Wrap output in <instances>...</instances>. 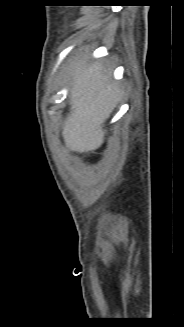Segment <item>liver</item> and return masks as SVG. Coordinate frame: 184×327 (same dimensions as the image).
I'll list each match as a JSON object with an SVG mask.
<instances>
[{"instance_id":"obj_1","label":"liver","mask_w":184,"mask_h":327,"mask_svg":"<svg viewBox=\"0 0 184 327\" xmlns=\"http://www.w3.org/2000/svg\"><path fill=\"white\" fill-rule=\"evenodd\" d=\"M120 97L111 73L104 72L99 63H77L72 69L71 111L62 131L67 148L79 153L98 149L104 141V123Z\"/></svg>"}]
</instances>
